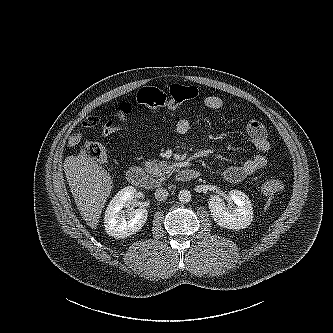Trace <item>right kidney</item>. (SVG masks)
Segmentation results:
<instances>
[{"label": "right kidney", "instance_id": "right-kidney-1", "mask_svg": "<svg viewBox=\"0 0 333 333\" xmlns=\"http://www.w3.org/2000/svg\"><path fill=\"white\" fill-rule=\"evenodd\" d=\"M135 192L134 187H125L108 204L104 216V227L109 236L126 238L144 226L148 217L146 209L138 208L131 212L122 210L133 200Z\"/></svg>", "mask_w": 333, "mask_h": 333}]
</instances>
